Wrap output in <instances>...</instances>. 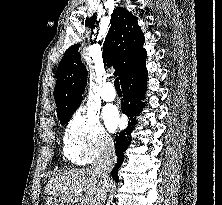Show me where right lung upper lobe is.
<instances>
[{
  "label": "right lung upper lobe",
  "instance_id": "obj_1",
  "mask_svg": "<svg viewBox=\"0 0 222 205\" xmlns=\"http://www.w3.org/2000/svg\"><path fill=\"white\" fill-rule=\"evenodd\" d=\"M144 41L137 17L122 7L114 9L103 58L108 67L116 69L115 75L119 76L121 83L146 67ZM79 47L80 44H76L68 48L57 68L54 98L58 120L71 117L82 101L87 70L81 62Z\"/></svg>",
  "mask_w": 222,
  "mask_h": 205
}]
</instances>
